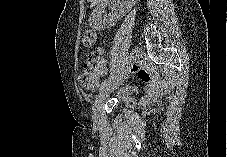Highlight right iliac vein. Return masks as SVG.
<instances>
[{"mask_svg": "<svg viewBox=\"0 0 227 157\" xmlns=\"http://www.w3.org/2000/svg\"><path fill=\"white\" fill-rule=\"evenodd\" d=\"M139 56V50L134 49L130 55V63L135 62L138 59ZM128 75V68L124 69L120 72L106 87H104L101 92L96 97L94 104H93V120L94 122H97L100 115V110L102 103L107 98V96L115 89H117L124 80L126 79Z\"/></svg>", "mask_w": 227, "mask_h": 157, "instance_id": "right-iliac-vein-1", "label": "right iliac vein"}]
</instances>
